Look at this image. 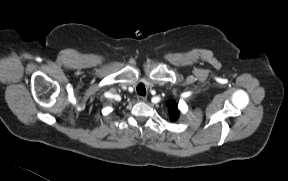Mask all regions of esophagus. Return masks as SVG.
Instances as JSON below:
<instances>
[{"instance_id": "esophagus-1", "label": "esophagus", "mask_w": 288, "mask_h": 181, "mask_svg": "<svg viewBox=\"0 0 288 181\" xmlns=\"http://www.w3.org/2000/svg\"><path fill=\"white\" fill-rule=\"evenodd\" d=\"M137 100H138L139 102H145V101L147 100V97L138 95V96H137Z\"/></svg>"}]
</instances>
